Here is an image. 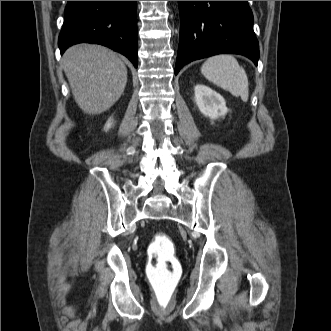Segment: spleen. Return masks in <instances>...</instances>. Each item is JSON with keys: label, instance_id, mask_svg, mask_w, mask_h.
Masks as SVG:
<instances>
[{"label": "spleen", "instance_id": "1", "mask_svg": "<svg viewBox=\"0 0 331 331\" xmlns=\"http://www.w3.org/2000/svg\"><path fill=\"white\" fill-rule=\"evenodd\" d=\"M201 72L210 82L247 102L248 78L232 55L220 54L208 58L202 65Z\"/></svg>", "mask_w": 331, "mask_h": 331}]
</instances>
